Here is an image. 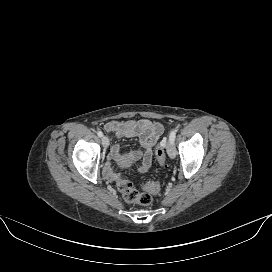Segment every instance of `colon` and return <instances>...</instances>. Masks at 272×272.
Wrapping results in <instances>:
<instances>
[{
	"instance_id": "colon-1",
	"label": "colon",
	"mask_w": 272,
	"mask_h": 272,
	"mask_svg": "<svg viewBox=\"0 0 272 272\" xmlns=\"http://www.w3.org/2000/svg\"><path fill=\"white\" fill-rule=\"evenodd\" d=\"M155 155L158 163L165 166L166 154L163 145L156 148ZM117 188L125 201L149 205L153 200L152 194L160 190V184L158 182L147 183L144 185V192H139L129 180L121 178L117 181Z\"/></svg>"
}]
</instances>
